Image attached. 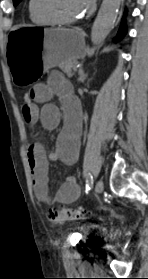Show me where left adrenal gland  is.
<instances>
[{"label": "left adrenal gland", "mask_w": 148, "mask_h": 279, "mask_svg": "<svg viewBox=\"0 0 148 279\" xmlns=\"http://www.w3.org/2000/svg\"><path fill=\"white\" fill-rule=\"evenodd\" d=\"M87 78V74H85L82 70V68L79 69V78H78V81L80 83H83Z\"/></svg>", "instance_id": "obj_1"}]
</instances>
